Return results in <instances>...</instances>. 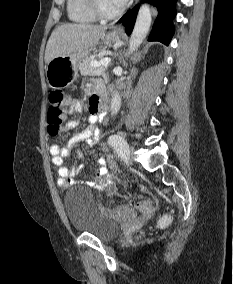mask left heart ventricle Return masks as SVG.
I'll return each mask as SVG.
<instances>
[{
  "label": "left heart ventricle",
  "mask_w": 233,
  "mask_h": 284,
  "mask_svg": "<svg viewBox=\"0 0 233 284\" xmlns=\"http://www.w3.org/2000/svg\"><path fill=\"white\" fill-rule=\"evenodd\" d=\"M102 7L104 10L111 12V11H115L116 9H118L120 6H118L114 0H100Z\"/></svg>",
  "instance_id": "obj_1"
}]
</instances>
